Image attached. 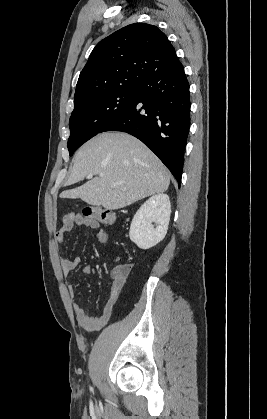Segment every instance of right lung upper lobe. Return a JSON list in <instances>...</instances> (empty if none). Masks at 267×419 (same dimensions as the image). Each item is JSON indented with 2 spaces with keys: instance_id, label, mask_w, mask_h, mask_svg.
I'll use <instances>...</instances> for the list:
<instances>
[{
  "instance_id": "cb5924a9",
  "label": "right lung upper lobe",
  "mask_w": 267,
  "mask_h": 419,
  "mask_svg": "<svg viewBox=\"0 0 267 419\" xmlns=\"http://www.w3.org/2000/svg\"><path fill=\"white\" fill-rule=\"evenodd\" d=\"M176 61L174 47L156 26L134 23L123 27L91 52L77 82L74 104L101 92L140 86Z\"/></svg>"
}]
</instances>
